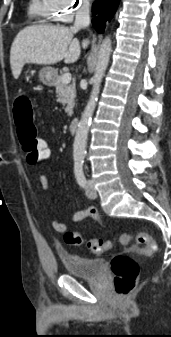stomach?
I'll return each mask as SVG.
<instances>
[{
	"mask_svg": "<svg viewBox=\"0 0 171 337\" xmlns=\"http://www.w3.org/2000/svg\"><path fill=\"white\" fill-rule=\"evenodd\" d=\"M40 80L46 85H53L57 79V72L51 67H44L39 73Z\"/></svg>",
	"mask_w": 171,
	"mask_h": 337,
	"instance_id": "0dacf381",
	"label": "stomach"
}]
</instances>
